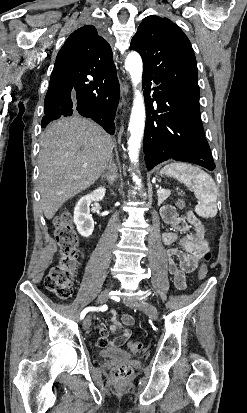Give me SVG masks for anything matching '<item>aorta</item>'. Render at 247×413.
Masks as SVG:
<instances>
[{
  "mask_svg": "<svg viewBox=\"0 0 247 413\" xmlns=\"http://www.w3.org/2000/svg\"><path fill=\"white\" fill-rule=\"evenodd\" d=\"M125 69L130 74L131 81L134 86V100L128 126V131L130 134L128 140V154L131 162L136 163L139 157L146 117L143 95L139 90H137V86L142 80L143 71L142 59L137 52L133 51L127 55L125 60ZM133 180L138 187L141 186V181L137 176L134 175Z\"/></svg>",
  "mask_w": 247,
  "mask_h": 413,
  "instance_id": "762f6f07",
  "label": "aorta"
}]
</instances>
